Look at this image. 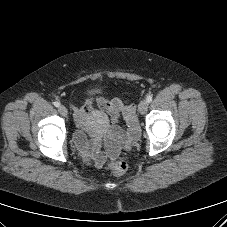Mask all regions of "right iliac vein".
I'll return each mask as SVG.
<instances>
[{
  "instance_id": "obj_1",
  "label": "right iliac vein",
  "mask_w": 227,
  "mask_h": 227,
  "mask_svg": "<svg viewBox=\"0 0 227 227\" xmlns=\"http://www.w3.org/2000/svg\"><path fill=\"white\" fill-rule=\"evenodd\" d=\"M58 111L62 116H67L68 114L67 108L65 106H59Z\"/></svg>"
}]
</instances>
